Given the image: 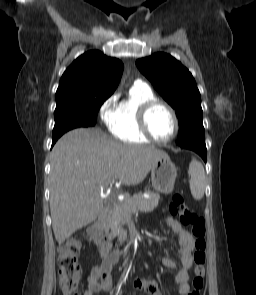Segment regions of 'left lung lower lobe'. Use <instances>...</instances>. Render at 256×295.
<instances>
[{
    "label": "left lung lower lobe",
    "mask_w": 256,
    "mask_h": 295,
    "mask_svg": "<svg viewBox=\"0 0 256 295\" xmlns=\"http://www.w3.org/2000/svg\"><path fill=\"white\" fill-rule=\"evenodd\" d=\"M181 148L190 149L198 153L206 162V145L205 142H193L179 145Z\"/></svg>",
    "instance_id": "left-lung-lower-lobe-1"
}]
</instances>
